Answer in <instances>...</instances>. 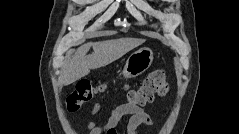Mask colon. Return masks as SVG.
I'll return each mask as SVG.
<instances>
[{
	"instance_id": "obj_1",
	"label": "colon",
	"mask_w": 239,
	"mask_h": 134,
	"mask_svg": "<svg viewBox=\"0 0 239 134\" xmlns=\"http://www.w3.org/2000/svg\"><path fill=\"white\" fill-rule=\"evenodd\" d=\"M104 89L102 83L94 84L91 80L83 78L78 81L76 89L67 98V110L77 112L82 106L92 100ZM168 84L165 73L161 70L152 71L137 90L128 93V101L132 105L144 106L151 103L155 95L163 96L167 93Z\"/></svg>"
}]
</instances>
